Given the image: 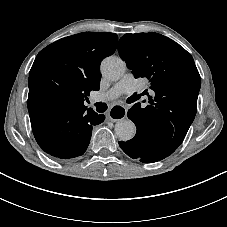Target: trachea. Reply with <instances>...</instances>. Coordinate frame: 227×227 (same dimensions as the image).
<instances>
[{"mask_svg": "<svg viewBox=\"0 0 227 227\" xmlns=\"http://www.w3.org/2000/svg\"><path fill=\"white\" fill-rule=\"evenodd\" d=\"M138 98H139V96L136 93H134L131 97H129L127 99V102L128 103H133ZM95 106H96V111L99 112V113H103V112H105L107 110V105L105 103L99 102V103H96Z\"/></svg>", "mask_w": 227, "mask_h": 227, "instance_id": "obj_1", "label": "trachea"}]
</instances>
